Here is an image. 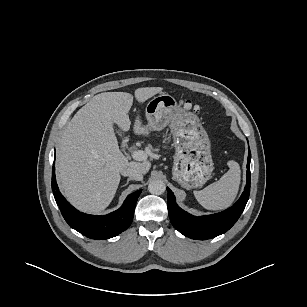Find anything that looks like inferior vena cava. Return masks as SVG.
Masks as SVG:
<instances>
[{
  "label": "inferior vena cava",
  "mask_w": 307,
  "mask_h": 307,
  "mask_svg": "<svg viewBox=\"0 0 307 307\" xmlns=\"http://www.w3.org/2000/svg\"><path fill=\"white\" fill-rule=\"evenodd\" d=\"M121 174L124 176H128L132 178L133 180H137V181H140L143 179V173L135 167L124 168L122 169Z\"/></svg>",
  "instance_id": "602c4592"
}]
</instances>
